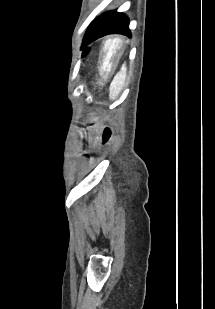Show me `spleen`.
Masks as SVG:
<instances>
[{"instance_id": "spleen-1", "label": "spleen", "mask_w": 215, "mask_h": 309, "mask_svg": "<svg viewBox=\"0 0 215 309\" xmlns=\"http://www.w3.org/2000/svg\"><path fill=\"white\" fill-rule=\"evenodd\" d=\"M120 76H121V74H116L112 84H115V80H116V84H119V86H122L123 80H121ZM112 84H111V86H112Z\"/></svg>"}]
</instances>
